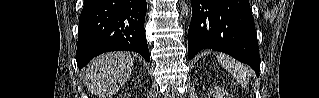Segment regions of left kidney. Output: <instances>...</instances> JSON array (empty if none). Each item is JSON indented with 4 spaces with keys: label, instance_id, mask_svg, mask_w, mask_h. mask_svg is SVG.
I'll list each match as a JSON object with an SVG mask.
<instances>
[{
    "label": "left kidney",
    "instance_id": "left-kidney-1",
    "mask_svg": "<svg viewBox=\"0 0 319 98\" xmlns=\"http://www.w3.org/2000/svg\"><path fill=\"white\" fill-rule=\"evenodd\" d=\"M214 98H229V94L226 90L221 87H215L212 91Z\"/></svg>",
    "mask_w": 319,
    "mask_h": 98
}]
</instances>
